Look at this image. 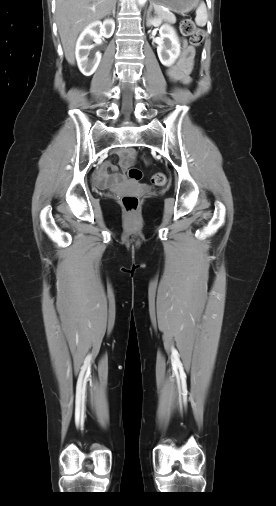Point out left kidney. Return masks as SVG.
Here are the masks:
<instances>
[{
	"instance_id": "1",
	"label": "left kidney",
	"mask_w": 276,
	"mask_h": 506,
	"mask_svg": "<svg viewBox=\"0 0 276 506\" xmlns=\"http://www.w3.org/2000/svg\"><path fill=\"white\" fill-rule=\"evenodd\" d=\"M148 26L159 27L161 20L158 18L148 19ZM160 42L158 43L157 53L161 63L165 66H171L180 54V43L175 30L169 25L160 27Z\"/></svg>"
}]
</instances>
